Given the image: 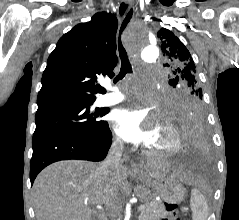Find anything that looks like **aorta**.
I'll return each mask as SVG.
<instances>
[{"label":"aorta","mask_w":239,"mask_h":220,"mask_svg":"<svg viewBox=\"0 0 239 220\" xmlns=\"http://www.w3.org/2000/svg\"><path fill=\"white\" fill-rule=\"evenodd\" d=\"M129 40H138V33H130ZM132 48H143V53H139L144 62H153L159 55L156 45H130Z\"/></svg>","instance_id":"obj_1"}]
</instances>
